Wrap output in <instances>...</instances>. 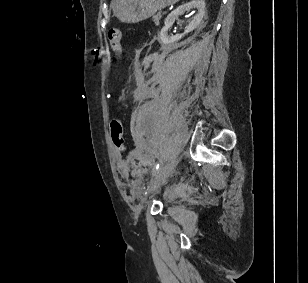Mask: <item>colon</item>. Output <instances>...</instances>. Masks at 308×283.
I'll use <instances>...</instances> for the list:
<instances>
[{
	"label": "colon",
	"mask_w": 308,
	"mask_h": 283,
	"mask_svg": "<svg viewBox=\"0 0 308 283\" xmlns=\"http://www.w3.org/2000/svg\"><path fill=\"white\" fill-rule=\"evenodd\" d=\"M109 44L112 50L120 54L122 51L121 40L122 32L118 28H110L107 33ZM110 134L114 146L119 151H124L125 149V130L123 123L120 119L115 118L110 122Z\"/></svg>",
	"instance_id": "colon-1"
}]
</instances>
